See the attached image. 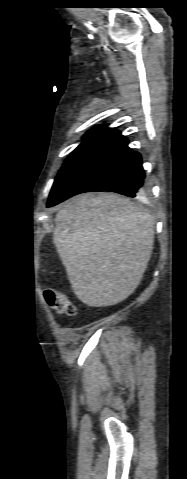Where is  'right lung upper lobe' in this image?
Returning <instances> with one entry per match:
<instances>
[{
    "label": "right lung upper lobe",
    "instance_id": "obj_1",
    "mask_svg": "<svg viewBox=\"0 0 187 479\" xmlns=\"http://www.w3.org/2000/svg\"><path fill=\"white\" fill-rule=\"evenodd\" d=\"M95 127L105 128L104 125H97V126H95ZM106 129H111V130L118 131L117 129H114V128H106Z\"/></svg>",
    "mask_w": 187,
    "mask_h": 479
}]
</instances>
